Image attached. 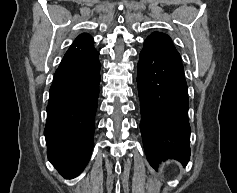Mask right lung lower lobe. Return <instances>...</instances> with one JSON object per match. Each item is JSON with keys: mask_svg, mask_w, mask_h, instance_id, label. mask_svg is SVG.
<instances>
[{"mask_svg": "<svg viewBox=\"0 0 237 193\" xmlns=\"http://www.w3.org/2000/svg\"><path fill=\"white\" fill-rule=\"evenodd\" d=\"M99 52L67 51L57 68L44 130L48 160L67 179L87 165L99 95Z\"/></svg>", "mask_w": 237, "mask_h": 193, "instance_id": "obj_1", "label": "right lung lower lobe"}]
</instances>
